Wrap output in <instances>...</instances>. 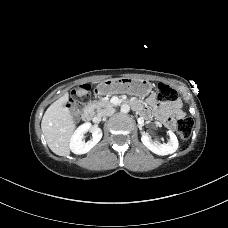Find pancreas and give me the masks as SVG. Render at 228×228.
Returning a JSON list of instances; mask_svg holds the SVG:
<instances>
[{
  "label": "pancreas",
  "mask_w": 228,
  "mask_h": 228,
  "mask_svg": "<svg viewBox=\"0 0 228 228\" xmlns=\"http://www.w3.org/2000/svg\"><path fill=\"white\" fill-rule=\"evenodd\" d=\"M90 106L94 109H96V111L98 113L102 112L104 109L113 107L114 105L112 103H110L108 100L106 99H101L98 101H93Z\"/></svg>",
  "instance_id": "1"
}]
</instances>
